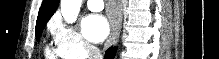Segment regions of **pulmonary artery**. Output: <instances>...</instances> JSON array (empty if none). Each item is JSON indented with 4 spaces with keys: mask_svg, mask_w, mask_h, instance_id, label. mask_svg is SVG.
<instances>
[{
    "mask_svg": "<svg viewBox=\"0 0 219 59\" xmlns=\"http://www.w3.org/2000/svg\"><path fill=\"white\" fill-rule=\"evenodd\" d=\"M87 6L91 11H94V12L101 11L104 8L102 0H88Z\"/></svg>",
    "mask_w": 219,
    "mask_h": 59,
    "instance_id": "e3ab8cb5",
    "label": "pulmonary artery"
}]
</instances>
